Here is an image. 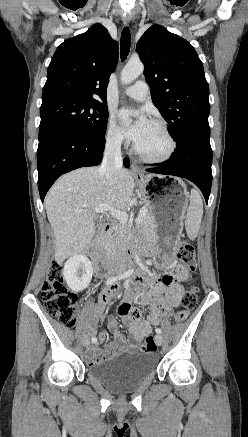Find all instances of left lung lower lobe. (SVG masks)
<instances>
[{"label": "left lung lower lobe", "instance_id": "1", "mask_svg": "<svg viewBox=\"0 0 248 437\" xmlns=\"http://www.w3.org/2000/svg\"><path fill=\"white\" fill-rule=\"evenodd\" d=\"M211 164L210 127L201 126L191 130L176 144V151L166 164L146 171L186 178L200 188L208 202L212 184Z\"/></svg>", "mask_w": 248, "mask_h": 437}]
</instances>
